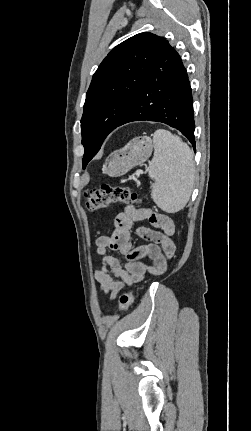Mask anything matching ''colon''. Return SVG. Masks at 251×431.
Instances as JSON below:
<instances>
[{
  "mask_svg": "<svg viewBox=\"0 0 251 431\" xmlns=\"http://www.w3.org/2000/svg\"><path fill=\"white\" fill-rule=\"evenodd\" d=\"M86 205L89 210H100L114 204H127L139 201L138 195L128 188L103 184L100 188L87 192ZM133 301L132 291L124 292L119 298L120 312H126Z\"/></svg>",
  "mask_w": 251,
  "mask_h": 431,
  "instance_id": "5ec220e1",
  "label": "colon"
}]
</instances>
